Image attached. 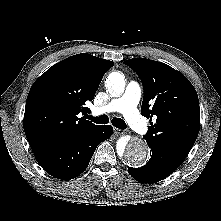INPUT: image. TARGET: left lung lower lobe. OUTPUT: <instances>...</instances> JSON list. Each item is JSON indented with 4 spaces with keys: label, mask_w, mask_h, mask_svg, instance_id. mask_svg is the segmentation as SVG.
<instances>
[{
    "label": "left lung lower lobe",
    "mask_w": 221,
    "mask_h": 221,
    "mask_svg": "<svg viewBox=\"0 0 221 221\" xmlns=\"http://www.w3.org/2000/svg\"><path fill=\"white\" fill-rule=\"evenodd\" d=\"M152 156L141 168H128L129 174L139 182L155 183L173 173L184 161V156L163 146L148 143Z\"/></svg>",
    "instance_id": "1"
}]
</instances>
